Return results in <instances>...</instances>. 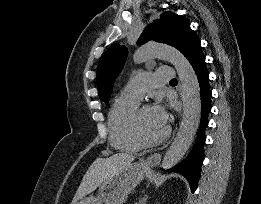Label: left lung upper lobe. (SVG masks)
I'll list each match as a JSON object with an SVG mask.
<instances>
[{
  "label": "left lung upper lobe",
  "mask_w": 261,
  "mask_h": 204,
  "mask_svg": "<svg viewBox=\"0 0 261 204\" xmlns=\"http://www.w3.org/2000/svg\"><path fill=\"white\" fill-rule=\"evenodd\" d=\"M195 35L185 17L168 11L161 14L159 20H155L144 29L137 45L155 40L171 45L184 53L185 48ZM127 53L125 46L114 44L101 57L97 68V87L101 101H109L114 81L124 66Z\"/></svg>",
  "instance_id": "obj_1"
}]
</instances>
